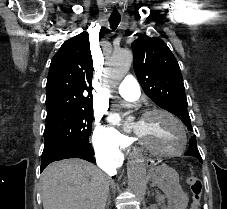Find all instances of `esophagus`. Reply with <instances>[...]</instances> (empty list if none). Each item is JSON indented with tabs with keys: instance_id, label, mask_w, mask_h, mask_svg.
<instances>
[{
	"instance_id": "esophagus-1",
	"label": "esophagus",
	"mask_w": 227,
	"mask_h": 209,
	"mask_svg": "<svg viewBox=\"0 0 227 209\" xmlns=\"http://www.w3.org/2000/svg\"><path fill=\"white\" fill-rule=\"evenodd\" d=\"M143 163H144V165H143L144 169H151L152 167L155 166V163L154 162H150L149 159H144Z\"/></svg>"
}]
</instances>
